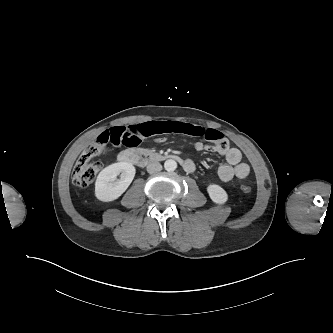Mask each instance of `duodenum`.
Returning a JSON list of instances; mask_svg holds the SVG:
<instances>
[{"mask_svg":"<svg viewBox=\"0 0 333 333\" xmlns=\"http://www.w3.org/2000/svg\"><path fill=\"white\" fill-rule=\"evenodd\" d=\"M119 160L126 163L135 164L138 166H146L151 163L175 160L179 162L185 170L188 169L187 162L176 154H161V153H149L135 150H125L120 153Z\"/></svg>","mask_w":333,"mask_h":333,"instance_id":"duodenum-1","label":"duodenum"}]
</instances>
